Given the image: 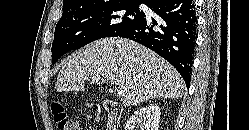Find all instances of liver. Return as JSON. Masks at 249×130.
Wrapping results in <instances>:
<instances>
[{
    "label": "liver",
    "instance_id": "liver-1",
    "mask_svg": "<svg viewBox=\"0 0 249 130\" xmlns=\"http://www.w3.org/2000/svg\"><path fill=\"white\" fill-rule=\"evenodd\" d=\"M90 79L125 87L124 107L153 98L177 99L185 88L178 71L158 54L116 37L97 40L63 61L56 91H84Z\"/></svg>",
    "mask_w": 249,
    "mask_h": 130
}]
</instances>
